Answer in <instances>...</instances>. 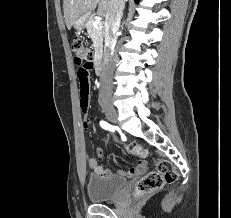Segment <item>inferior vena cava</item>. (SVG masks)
<instances>
[{"label": "inferior vena cava", "instance_id": "inferior-vena-cava-1", "mask_svg": "<svg viewBox=\"0 0 231 218\" xmlns=\"http://www.w3.org/2000/svg\"><path fill=\"white\" fill-rule=\"evenodd\" d=\"M126 0H111L110 10L105 19V46L100 75L99 99H109L112 94V73L114 68V47L116 34L119 30L120 21Z\"/></svg>", "mask_w": 231, "mask_h": 218}]
</instances>
